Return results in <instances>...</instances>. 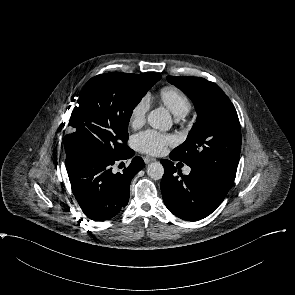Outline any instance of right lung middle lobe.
Segmentation results:
<instances>
[{"label": "right lung middle lobe", "mask_w": 295, "mask_h": 295, "mask_svg": "<svg viewBox=\"0 0 295 295\" xmlns=\"http://www.w3.org/2000/svg\"><path fill=\"white\" fill-rule=\"evenodd\" d=\"M160 78L152 72H111L91 78L72 110L68 125L73 132L63 139L66 167L87 154H125L133 109Z\"/></svg>", "instance_id": "dd1d6c3e"}]
</instances>
